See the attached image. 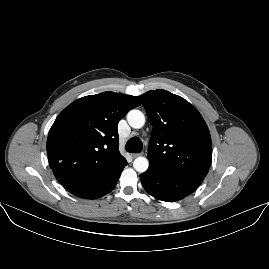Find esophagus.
<instances>
[{
	"label": "esophagus",
	"mask_w": 269,
	"mask_h": 269,
	"mask_svg": "<svg viewBox=\"0 0 269 269\" xmlns=\"http://www.w3.org/2000/svg\"><path fill=\"white\" fill-rule=\"evenodd\" d=\"M132 158H136L138 156H140V153H136V154H131Z\"/></svg>",
	"instance_id": "34e87169"
}]
</instances>
